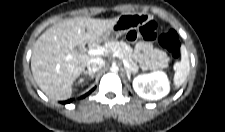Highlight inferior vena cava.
<instances>
[{"label": "inferior vena cava", "mask_w": 225, "mask_h": 132, "mask_svg": "<svg viewBox=\"0 0 225 132\" xmlns=\"http://www.w3.org/2000/svg\"><path fill=\"white\" fill-rule=\"evenodd\" d=\"M105 65V61L100 58H92L87 63V68L89 72H96Z\"/></svg>", "instance_id": "602c4592"}]
</instances>
